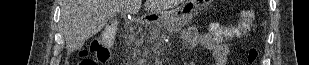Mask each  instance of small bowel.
Returning <instances> with one entry per match:
<instances>
[{"label":"small bowel","mask_w":309,"mask_h":65,"mask_svg":"<svg viewBox=\"0 0 309 65\" xmlns=\"http://www.w3.org/2000/svg\"><path fill=\"white\" fill-rule=\"evenodd\" d=\"M213 33L200 32L195 27H188L183 33V41L188 51H193L199 46L209 50L213 56L212 65H226L231 53L232 44L227 40ZM186 65H195L189 62Z\"/></svg>","instance_id":"small-bowel-1"}]
</instances>
